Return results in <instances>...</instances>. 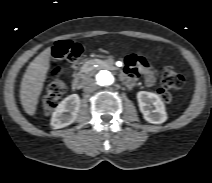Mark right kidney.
Wrapping results in <instances>:
<instances>
[{
    "instance_id": "right-kidney-1",
    "label": "right kidney",
    "mask_w": 212,
    "mask_h": 183,
    "mask_svg": "<svg viewBox=\"0 0 212 183\" xmlns=\"http://www.w3.org/2000/svg\"><path fill=\"white\" fill-rule=\"evenodd\" d=\"M80 97L78 94H72L62 100L52 114L51 126L54 129H60L72 124L80 109Z\"/></svg>"
}]
</instances>
